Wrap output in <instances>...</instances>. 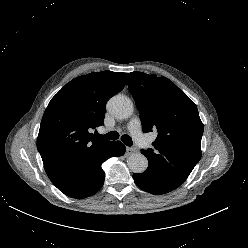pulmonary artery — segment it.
<instances>
[{
    "instance_id": "obj_1",
    "label": "pulmonary artery",
    "mask_w": 248,
    "mask_h": 248,
    "mask_svg": "<svg viewBox=\"0 0 248 248\" xmlns=\"http://www.w3.org/2000/svg\"><path fill=\"white\" fill-rule=\"evenodd\" d=\"M127 128L139 146L144 147L148 144L147 139L141 131V121L139 118L135 117L131 119L127 125Z\"/></svg>"
}]
</instances>
